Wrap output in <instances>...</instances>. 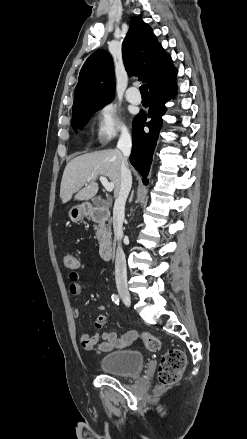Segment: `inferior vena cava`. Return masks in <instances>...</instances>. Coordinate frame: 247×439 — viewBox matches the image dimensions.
Masks as SVG:
<instances>
[{
    "mask_svg": "<svg viewBox=\"0 0 247 439\" xmlns=\"http://www.w3.org/2000/svg\"><path fill=\"white\" fill-rule=\"evenodd\" d=\"M117 148L122 152L123 158L120 168V191L113 208V229L115 240L118 242L115 257V280L118 289L127 288L126 259L121 246L123 238V221L125 216V204L129 195L132 177L128 167L127 158L131 153L132 140L128 131H123L117 143Z\"/></svg>",
    "mask_w": 247,
    "mask_h": 439,
    "instance_id": "602c4592",
    "label": "inferior vena cava"
}]
</instances>
